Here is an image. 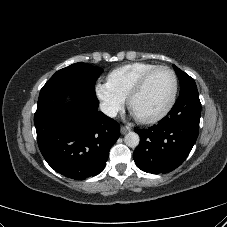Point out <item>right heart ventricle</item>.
I'll use <instances>...</instances> for the list:
<instances>
[{"label":"right heart ventricle","mask_w":227,"mask_h":227,"mask_svg":"<svg viewBox=\"0 0 227 227\" xmlns=\"http://www.w3.org/2000/svg\"><path fill=\"white\" fill-rule=\"evenodd\" d=\"M155 64L133 62L113 69L107 76L109 86L122 98L126 99L137 80Z\"/></svg>","instance_id":"right-heart-ventricle-1"}]
</instances>
